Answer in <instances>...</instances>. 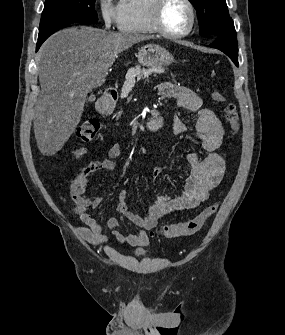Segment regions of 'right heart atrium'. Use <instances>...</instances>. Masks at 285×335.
Returning a JSON list of instances; mask_svg holds the SVG:
<instances>
[{
  "label": "right heart atrium",
  "mask_w": 285,
  "mask_h": 335,
  "mask_svg": "<svg viewBox=\"0 0 285 335\" xmlns=\"http://www.w3.org/2000/svg\"><path fill=\"white\" fill-rule=\"evenodd\" d=\"M100 13L106 28H111L122 23L121 6L115 1H102Z\"/></svg>",
  "instance_id": "1"
}]
</instances>
